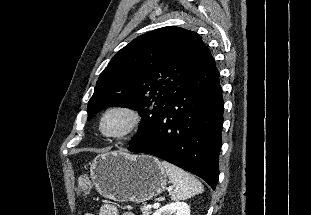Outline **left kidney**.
<instances>
[{
  "label": "left kidney",
  "mask_w": 311,
  "mask_h": 215,
  "mask_svg": "<svg viewBox=\"0 0 311 215\" xmlns=\"http://www.w3.org/2000/svg\"><path fill=\"white\" fill-rule=\"evenodd\" d=\"M153 215H190V207L185 202H175L159 208Z\"/></svg>",
  "instance_id": "obj_1"
}]
</instances>
